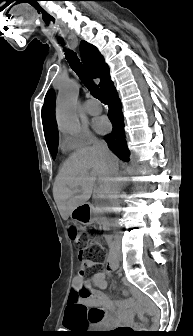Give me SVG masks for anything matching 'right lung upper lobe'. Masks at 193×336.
<instances>
[{
    "label": "right lung upper lobe",
    "mask_w": 193,
    "mask_h": 336,
    "mask_svg": "<svg viewBox=\"0 0 193 336\" xmlns=\"http://www.w3.org/2000/svg\"><path fill=\"white\" fill-rule=\"evenodd\" d=\"M80 52L83 64L91 72L92 76L101 77L99 86L101 90L105 87L108 81L111 80L109 68L104 63V60L98 50L91 44L81 41ZM42 122L46 138V142L58 137V131L55 121V95L53 90H49L45 96L44 105L42 108Z\"/></svg>",
    "instance_id": "cb5924a9"
}]
</instances>
